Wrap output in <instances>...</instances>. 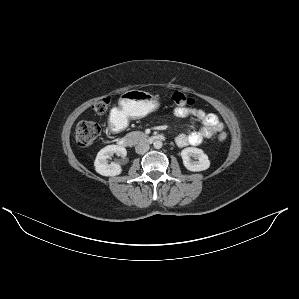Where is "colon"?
I'll use <instances>...</instances> for the list:
<instances>
[{
    "label": "colon",
    "instance_id": "obj_1",
    "mask_svg": "<svg viewBox=\"0 0 299 299\" xmlns=\"http://www.w3.org/2000/svg\"><path fill=\"white\" fill-rule=\"evenodd\" d=\"M171 102L177 107H189L192 105L193 100L186 94L176 91L171 94ZM110 99L103 98L93 105V111L97 115H104L109 107ZM100 133V127L98 123L90 120H84L77 124L76 126V139L79 144L83 146H88L93 144ZM220 141H225L227 139V134L221 132L218 135Z\"/></svg>",
    "mask_w": 299,
    "mask_h": 299
}]
</instances>
